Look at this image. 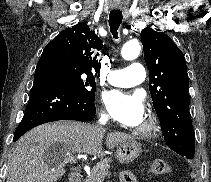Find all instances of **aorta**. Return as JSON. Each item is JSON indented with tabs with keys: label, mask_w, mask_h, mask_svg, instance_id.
I'll return each instance as SVG.
<instances>
[{
	"label": "aorta",
	"mask_w": 211,
	"mask_h": 182,
	"mask_svg": "<svg viewBox=\"0 0 211 182\" xmlns=\"http://www.w3.org/2000/svg\"><path fill=\"white\" fill-rule=\"evenodd\" d=\"M141 51V46L137 41L126 42L121 49V56L125 60H133L138 57Z\"/></svg>",
	"instance_id": "1"
}]
</instances>
